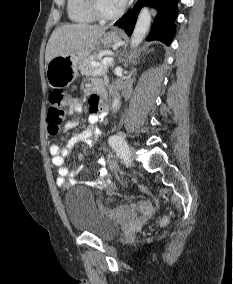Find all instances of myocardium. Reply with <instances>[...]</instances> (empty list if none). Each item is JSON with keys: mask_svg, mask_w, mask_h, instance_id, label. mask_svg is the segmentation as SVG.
Instances as JSON below:
<instances>
[{"mask_svg": "<svg viewBox=\"0 0 233 284\" xmlns=\"http://www.w3.org/2000/svg\"><path fill=\"white\" fill-rule=\"evenodd\" d=\"M87 1L91 13L95 16L96 19L99 20H113L119 17L124 11V8L120 7L114 12H106L102 9L100 0H87Z\"/></svg>", "mask_w": 233, "mask_h": 284, "instance_id": "myocardium-1", "label": "myocardium"}]
</instances>
